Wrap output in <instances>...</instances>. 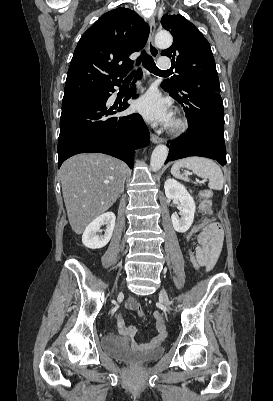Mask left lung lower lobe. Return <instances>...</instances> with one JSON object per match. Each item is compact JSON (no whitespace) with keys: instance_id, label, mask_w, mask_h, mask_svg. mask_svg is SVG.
I'll use <instances>...</instances> for the list:
<instances>
[{"instance_id":"left-lung-lower-lobe-1","label":"left lung lower lobe","mask_w":273,"mask_h":401,"mask_svg":"<svg viewBox=\"0 0 273 401\" xmlns=\"http://www.w3.org/2000/svg\"><path fill=\"white\" fill-rule=\"evenodd\" d=\"M161 87L165 90L162 84ZM169 93L185 108L189 129L176 140L168 141L169 156L165 163L201 156L225 165L224 108L220 92L206 87H191Z\"/></svg>"}]
</instances>
